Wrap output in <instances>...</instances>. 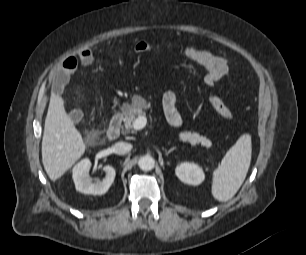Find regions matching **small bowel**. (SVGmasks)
Returning a JSON list of instances; mask_svg holds the SVG:
<instances>
[{
  "instance_id": "obj_1",
  "label": "small bowel",
  "mask_w": 306,
  "mask_h": 255,
  "mask_svg": "<svg viewBox=\"0 0 306 255\" xmlns=\"http://www.w3.org/2000/svg\"><path fill=\"white\" fill-rule=\"evenodd\" d=\"M80 61L83 64H89L93 60V56L90 50H82L79 54ZM78 67V60L76 57L66 58L61 67L57 69L52 76V88L55 94H61L64 87L69 81V77ZM178 95L174 91H168L164 94L162 99V106L165 117L168 123L172 126L179 127L182 125V117L177 109ZM71 118L78 120L80 117L79 111L71 112Z\"/></svg>"
}]
</instances>
